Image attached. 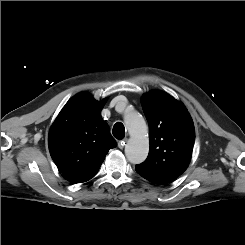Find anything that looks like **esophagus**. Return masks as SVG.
Masks as SVG:
<instances>
[{"label":"esophagus","instance_id":"1","mask_svg":"<svg viewBox=\"0 0 245 245\" xmlns=\"http://www.w3.org/2000/svg\"><path fill=\"white\" fill-rule=\"evenodd\" d=\"M126 143H127V139H123V140L118 142V147L120 149H123L125 147Z\"/></svg>","mask_w":245,"mask_h":245}]
</instances>
